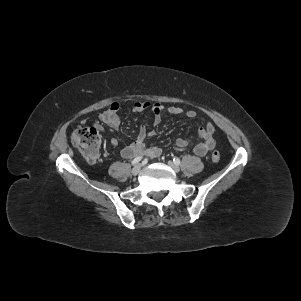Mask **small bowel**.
Instances as JSON below:
<instances>
[{
	"mask_svg": "<svg viewBox=\"0 0 301 301\" xmlns=\"http://www.w3.org/2000/svg\"><path fill=\"white\" fill-rule=\"evenodd\" d=\"M133 109L137 111L150 109L153 114L154 125L160 124L165 114H185L188 118H195L196 116V112L194 110H184L179 106H170L165 108L158 102H136L133 105ZM119 111V103L114 102L106 110L98 113L96 115V119L100 123H95L96 129L100 132H103V125L107 126L110 129H118L120 126V118L118 115ZM214 133L215 128L210 122L206 123L205 126H202L198 129V137L201 139V142L198 143L193 149L196 155L205 156L215 148L216 142L214 139ZM154 135L155 133L153 131H148L144 124L141 125L137 139L121 150L122 157L129 159L139 154H145L150 158L159 157L162 152L159 147L153 146L147 148L145 145L146 140L150 137H153ZM110 142L113 147H116L118 145V140L116 138H112ZM188 145L189 140L187 139L178 138L175 142V148L178 150H183Z\"/></svg>",
	"mask_w": 301,
	"mask_h": 301,
	"instance_id": "1",
	"label": "small bowel"
}]
</instances>
